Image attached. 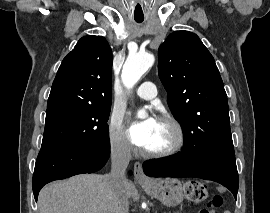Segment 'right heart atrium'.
I'll use <instances>...</instances> for the list:
<instances>
[{
    "instance_id": "right-heart-atrium-1",
    "label": "right heart atrium",
    "mask_w": 270,
    "mask_h": 213,
    "mask_svg": "<svg viewBox=\"0 0 270 213\" xmlns=\"http://www.w3.org/2000/svg\"><path fill=\"white\" fill-rule=\"evenodd\" d=\"M108 142L112 153L119 157H129L131 147L125 138V133L122 125V116L113 113L108 125Z\"/></svg>"
}]
</instances>
